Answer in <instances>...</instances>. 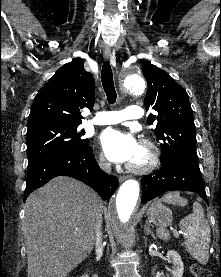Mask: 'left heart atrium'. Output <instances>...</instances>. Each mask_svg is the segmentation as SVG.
Segmentation results:
<instances>
[{"mask_svg": "<svg viewBox=\"0 0 221 277\" xmlns=\"http://www.w3.org/2000/svg\"><path fill=\"white\" fill-rule=\"evenodd\" d=\"M101 143L107 158L113 162H131L139 150V144L133 135L114 129L103 132Z\"/></svg>", "mask_w": 221, "mask_h": 277, "instance_id": "39dd6f15", "label": "left heart atrium"}]
</instances>
